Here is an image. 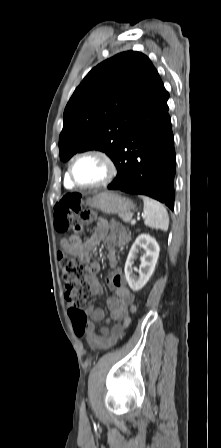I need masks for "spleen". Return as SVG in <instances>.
<instances>
[{
  "label": "spleen",
  "mask_w": 221,
  "mask_h": 448,
  "mask_svg": "<svg viewBox=\"0 0 221 448\" xmlns=\"http://www.w3.org/2000/svg\"><path fill=\"white\" fill-rule=\"evenodd\" d=\"M144 202V211L146 213L145 225L152 229L168 230L169 217L166 208L160 202L140 196Z\"/></svg>",
  "instance_id": "1"
}]
</instances>
